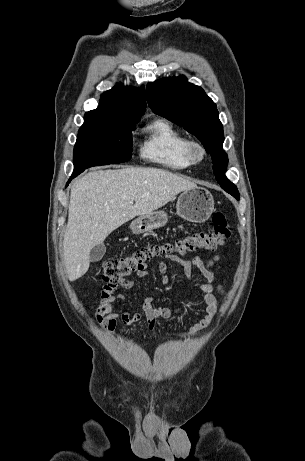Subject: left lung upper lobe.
<instances>
[{"label":"left lung upper lobe","instance_id":"left-lung-upper-lobe-1","mask_svg":"<svg viewBox=\"0 0 305 461\" xmlns=\"http://www.w3.org/2000/svg\"><path fill=\"white\" fill-rule=\"evenodd\" d=\"M146 98L154 113L184 126L202 142L212 156L216 180L239 200L236 186L225 176L228 157L222 148L224 133L217 107L204 90L188 83L182 75L148 83Z\"/></svg>","mask_w":305,"mask_h":461}]
</instances>
